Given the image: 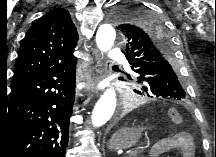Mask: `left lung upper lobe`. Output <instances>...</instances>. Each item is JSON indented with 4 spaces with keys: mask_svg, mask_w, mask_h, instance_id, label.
Masks as SVG:
<instances>
[{
    "mask_svg": "<svg viewBox=\"0 0 216 157\" xmlns=\"http://www.w3.org/2000/svg\"><path fill=\"white\" fill-rule=\"evenodd\" d=\"M112 18L118 23L124 55L136 74L138 94L161 100L182 101L187 94L172 56L170 31L163 19L142 5L117 8Z\"/></svg>",
    "mask_w": 216,
    "mask_h": 157,
    "instance_id": "5c2ea615",
    "label": "left lung upper lobe"
}]
</instances>
